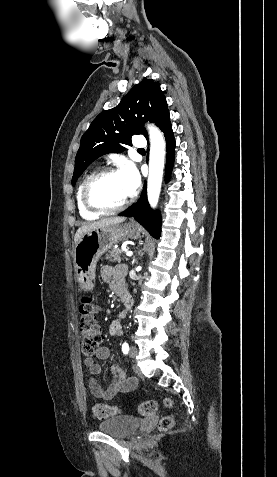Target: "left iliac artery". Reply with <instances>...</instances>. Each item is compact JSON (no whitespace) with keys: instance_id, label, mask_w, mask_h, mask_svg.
Wrapping results in <instances>:
<instances>
[{"instance_id":"left-iliac-artery-1","label":"left iliac artery","mask_w":277,"mask_h":477,"mask_svg":"<svg viewBox=\"0 0 277 477\" xmlns=\"http://www.w3.org/2000/svg\"><path fill=\"white\" fill-rule=\"evenodd\" d=\"M122 351L124 354H127L129 352V345L126 342L122 345Z\"/></svg>"}]
</instances>
